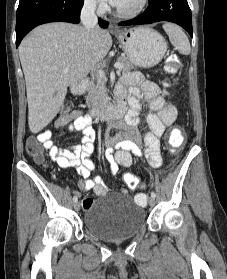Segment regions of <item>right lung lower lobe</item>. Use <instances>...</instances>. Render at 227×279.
Instances as JSON below:
<instances>
[{
    "label": "right lung lower lobe",
    "mask_w": 227,
    "mask_h": 279,
    "mask_svg": "<svg viewBox=\"0 0 227 279\" xmlns=\"http://www.w3.org/2000/svg\"><path fill=\"white\" fill-rule=\"evenodd\" d=\"M84 0H20L16 16V46L34 27L55 21L80 22ZM102 28L108 22L99 19Z\"/></svg>",
    "instance_id": "98d812e1"
}]
</instances>
